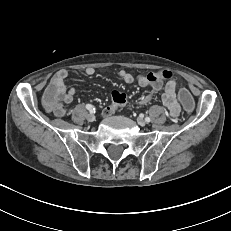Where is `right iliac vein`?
Returning a JSON list of instances; mask_svg holds the SVG:
<instances>
[{
  "label": "right iliac vein",
  "instance_id": "63e3f726",
  "mask_svg": "<svg viewBox=\"0 0 231 231\" xmlns=\"http://www.w3.org/2000/svg\"><path fill=\"white\" fill-rule=\"evenodd\" d=\"M86 118H87V120H88L89 122L95 121V115H94L93 113H88V114L86 115Z\"/></svg>",
  "mask_w": 231,
  "mask_h": 231
}]
</instances>
